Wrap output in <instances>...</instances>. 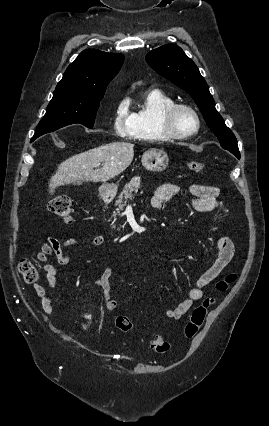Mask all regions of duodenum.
I'll list each match as a JSON object with an SVG mask.
<instances>
[{"mask_svg": "<svg viewBox=\"0 0 269 426\" xmlns=\"http://www.w3.org/2000/svg\"><path fill=\"white\" fill-rule=\"evenodd\" d=\"M100 200L104 203L108 202L110 200V196L106 192L100 193Z\"/></svg>", "mask_w": 269, "mask_h": 426, "instance_id": "duodenum-1", "label": "duodenum"}]
</instances>
